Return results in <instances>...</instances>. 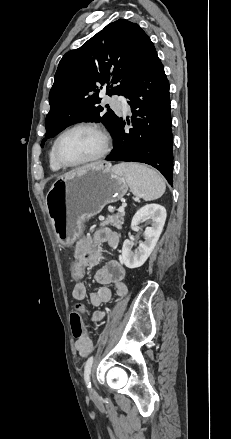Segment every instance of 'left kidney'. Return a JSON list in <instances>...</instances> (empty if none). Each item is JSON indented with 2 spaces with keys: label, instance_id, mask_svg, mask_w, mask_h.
<instances>
[{
  "label": "left kidney",
  "instance_id": "5707ae66",
  "mask_svg": "<svg viewBox=\"0 0 231 439\" xmlns=\"http://www.w3.org/2000/svg\"><path fill=\"white\" fill-rule=\"evenodd\" d=\"M148 219H151V227L145 229V240L139 243V247L135 251H132L133 242L131 240H125L123 243L122 262L130 269L142 266L152 253L165 224L166 209L159 204L145 205L134 215L131 228L138 230V225Z\"/></svg>",
  "mask_w": 231,
  "mask_h": 439
}]
</instances>
